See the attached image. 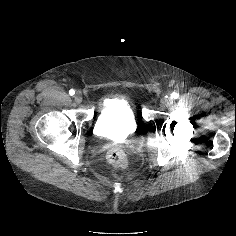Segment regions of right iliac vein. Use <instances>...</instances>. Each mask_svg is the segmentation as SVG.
Segmentation results:
<instances>
[{"mask_svg":"<svg viewBox=\"0 0 236 236\" xmlns=\"http://www.w3.org/2000/svg\"><path fill=\"white\" fill-rule=\"evenodd\" d=\"M82 99H83V97H82L81 92H77V93L75 94V96H74L75 102L79 104V103L82 102Z\"/></svg>","mask_w":236,"mask_h":236,"instance_id":"1","label":"right iliac vein"}]
</instances>
